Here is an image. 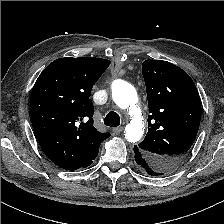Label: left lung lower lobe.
I'll list each match as a JSON object with an SVG mask.
<instances>
[{"instance_id":"1","label":"left lung lower lobe","mask_w":224,"mask_h":224,"mask_svg":"<svg viewBox=\"0 0 224 224\" xmlns=\"http://www.w3.org/2000/svg\"><path fill=\"white\" fill-rule=\"evenodd\" d=\"M134 153H135V161L137 163L138 169L143 174H148V175H151V176H155L156 175L155 171L147 163V161L142 157V155L138 151H135Z\"/></svg>"}]
</instances>
